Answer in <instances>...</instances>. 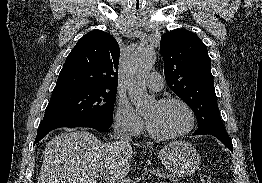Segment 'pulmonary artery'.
<instances>
[{
  "label": "pulmonary artery",
  "mask_w": 262,
  "mask_h": 183,
  "mask_svg": "<svg viewBox=\"0 0 262 183\" xmlns=\"http://www.w3.org/2000/svg\"><path fill=\"white\" fill-rule=\"evenodd\" d=\"M146 84L153 91H161L164 86V81L161 75L157 72L150 73L146 78Z\"/></svg>",
  "instance_id": "pulmonary-artery-1"
}]
</instances>
